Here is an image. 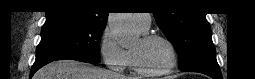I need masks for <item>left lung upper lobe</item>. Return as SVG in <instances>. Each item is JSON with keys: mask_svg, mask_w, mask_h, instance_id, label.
Listing matches in <instances>:
<instances>
[{"mask_svg": "<svg viewBox=\"0 0 255 79\" xmlns=\"http://www.w3.org/2000/svg\"><path fill=\"white\" fill-rule=\"evenodd\" d=\"M160 9L154 14L159 28L179 54L180 70L205 63H217L211 28L204 13L196 11H167L168 2L157 1Z\"/></svg>", "mask_w": 255, "mask_h": 79, "instance_id": "1", "label": "left lung upper lobe"}]
</instances>
